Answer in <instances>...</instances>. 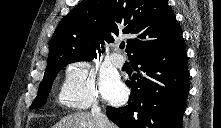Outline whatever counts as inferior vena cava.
I'll use <instances>...</instances> for the list:
<instances>
[{
  "mask_svg": "<svg viewBox=\"0 0 221 128\" xmlns=\"http://www.w3.org/2000/svg\"><path fill=\"white\" fill-rule=\"evenodd\" d=\"M91 115L94 117L97 128H110V122L107 117L101 112L98 102L92 103Z\"/></svg>",
  "mask_w": 221,
  "mask_h": 128,
  "instance_id": "inferior-vena-cava-1",
  "label": "inferior vena cava"
}]
</instances>
